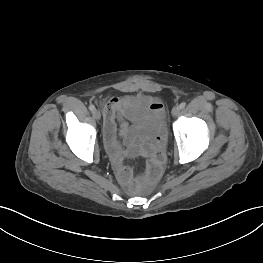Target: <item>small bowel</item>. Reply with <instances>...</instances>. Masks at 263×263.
Segmentation results:
<instances>
[{
	"mask_svg": "<svg viewBox=\"0 0 263 263\" xmlns=\"http://www.w3.org/2000/svg\"><path fill=\"white\" fill-rule=\"evenodd\" d=\"M133 98L130 96L118 97L113 96L103 103L104 111V136L105 144L111 158L117 178L124 186L132 183L133 172L130 167L125 165V159L128 157L145 156L148 165L154 162L163 164L165 154L163 152L164 135L157 131L150 137V142L145 145L129 144L128 148H123L119 142L118 136L127 134L126 120H132L128 111ZM151 110L157 117H162L164 106L156 98H149ZM117 122L120 124L118 130Z\"/></svg>",
	"mask_w": 263,
	"mask_h": 263,
	"instance_id": "1",
	"label": "small bowel"
}]
</instances>
